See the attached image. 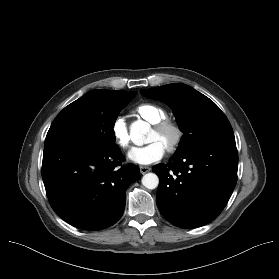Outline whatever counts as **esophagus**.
<instances>
[{
	"instance_id": "obj_1",
	"label": "esophagus",
	"mask_w": 279,
	"mask_h": 279,
	"mask_svg": "<svg viewBox=\"0 0 279 279\" xmlns=\"http://www.w3.org/2000/svg\"><path fill=\"white\" fill-rule=\"evenodd\" d=\"M150 170H151V168L148 166H140V172L142 174H145V173L149 172Z\"/></svg>"
}]
</instances>
